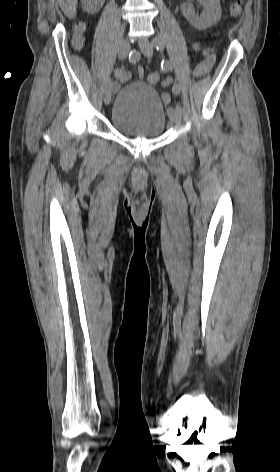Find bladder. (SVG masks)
<instances>
[{
  "label": "bladder",
  "mask_w": 280,
  "mask_h": 472,
  "mask_svg": "<svg viewBox=\"0 0 280 472\" xmlns=\"http://www.w3.org/2000/svg\"><path fill=\"white\" fill-rule=\"evenodd\" d=\"M167 114L156 89L143 81H133L116 94L110 123L127 136L159 137L166 128Z\"/></svg>",
  "instance_id": "31cf9c89"
}]
</instances>
